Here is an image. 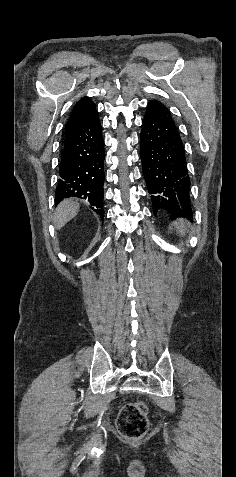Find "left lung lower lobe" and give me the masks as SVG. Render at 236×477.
<instances>
[{"label": "left lung lower lobe", "mask_w": 236, "mask_h": 477, "mask_svg": "<svg viewBox=\"0 0 236 477\" xmlns=\"http://www.w3.org/2000/svg\"><path fill=\"white\" fill-rule=\"evenodd\" d=\"M140 154L154 213L165 210L173 220L191 219L190 179L184 146L170 111L152 100L142 122Z\"/></svg>", "instance_id": "obj_1"}]
</instances>
